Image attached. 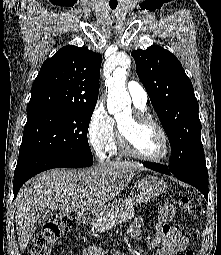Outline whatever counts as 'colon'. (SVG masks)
Masks as SVG:
<instances>
[{
  "mask_svg": "<svg viewBox=\"0 0 221 255\" xmlns=\"http://www.w3.org/2000/svg\"><path fill=\"white\" fill-rule=\"evenodd\" d=\"M179 208L183 213H191L193 204L189 197H181L179 200ZM173 207L165 205L160 213V228L164 230L168 225V221L173 216ZM72 226V219L68 214H55L47 220L41 231L35 236L30 247V255H51L53 244L68 231ZM181 255H194L190 249L185 250Z\"/></svg>",
  "mask_w": 221,
  "mask_h": 255,
  "instance_id": "1",
  "label": "colon"
}]
</instances>
